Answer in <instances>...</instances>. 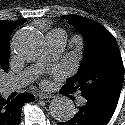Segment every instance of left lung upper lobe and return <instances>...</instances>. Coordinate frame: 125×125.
<instances>
[{"label": "left lung upper lobe", "instance_id": "obj_1", "mask_svg": "<svg viewBox=\"0 0 125 125\" xmlns=\"http://www.w3.org/2000/svg\"><path fill=\"white\" fill-rule=\"evenodd\" d=\"M82 32L84 57L76 75L62 88L67 94L76 90L86 100L119 99L124 67L114 36L99 23L77 15H65Z\"/></svg>", "mask_w": 125, "mask_h": 125}]
</instances>
